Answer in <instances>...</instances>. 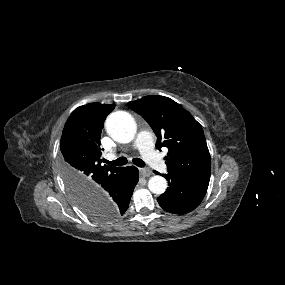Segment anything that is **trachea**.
I'll return each instance as SVG.
<instances>
[{"instance_id":"1","label":"trachea","mask_w":285,"mask_h":285,"mask_svg":"<svg viewBox=\"0 0 285 285\" xmlns=\"http://www.w3.org/2000/svg\"><path fill=\"white\" fill-rule=\"evenodd\" d=\"M127 162H128V160L126 157H120V158L113 160V161L104 160V163L108 164L109 166H122V165H125ZM132 162L138 167H144L145 166L144 161L140 158H134L132 160Z\"/></svg>"}]
</instances>
